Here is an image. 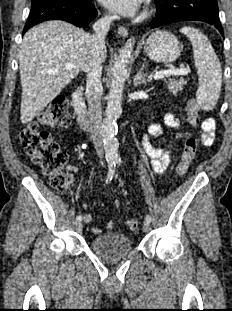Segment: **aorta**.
I'll return each mask as SVG.
<instances>
[{"mask_svg":"<svg viewBox=\"0 0 232 311\" xmlns=\"http://www.w3.org/2000/svg\"><path fill=\"white\" fill-rule=\"evenodd\" d=\"M133 45L134 39L131 38L121 49L119 56L114 64L113 77L108 95V104L101 125L103 146L106 157L109 159L118 158L119 143L116 138L118 131L116 121L122 113L121 101L125 77L127 74L126 66L129 62V58L133 50Z\"/></svg>","mask_w":232,"mask_h":311,"instance_id":"762f6f07","label":"aorta"}]
</instances>
